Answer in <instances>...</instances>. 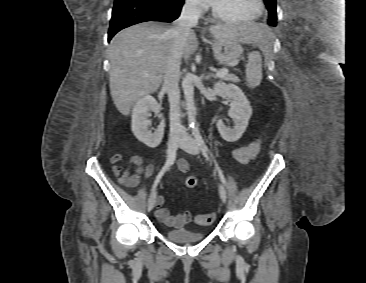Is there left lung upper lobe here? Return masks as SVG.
<instances>
[{
	"label": "left lung upper lobe",
	"mask_w": 366,
	"mask_h": 283,
	"mask_svg": "<svg viewBox=\"0 0 366 283\" xmlns=\"http://www.w3.org/2000/svg\"><path fill=\"white\" fill-rule=\"evenodd\" d=\"M269 12L268 24L271 26L277 25L276 0H264Z\"/></svg>",
	"instance_id": "obj_1"
}]
</instances>
